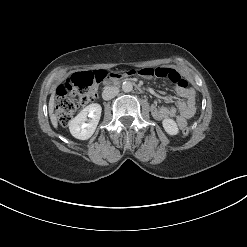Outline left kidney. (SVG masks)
Segmentation results:
<instances>
[{"mask_svg":"<svg viewBox=\"0 0 247 247\" xmlns=\"http://www.w3.org/2000/svg\"><path fill=\"white\" fill-rule=\"evenodd\" d=\"M164 130L171 136L177 135L179 133L178 126L173 119L166 118L162 121Z\"/></svg>","mask_w":247,"mask_h":247,"instance_id":"1","label":"left kidney"}]
</instances>
